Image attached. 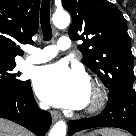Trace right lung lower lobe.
<instances>
[{
    "label": "right lung lower lobe",
    "instance_id": "right-lung-lower-lobe-1",
    "mask_svg": "<svg viewBox=\"0 0 136 136\" xmlns=\"http://www.w3.org/2000/svg\"><path fill=\"white\" fill-rule=\"evenodd\" d=\"M0 117L16 122L38 136L48 131L52 120L35 102L30 81L17 91L0 93Z\"/></svg>",
    "mask_w": 136,
    "mask_h": 136
}]
</instances>
